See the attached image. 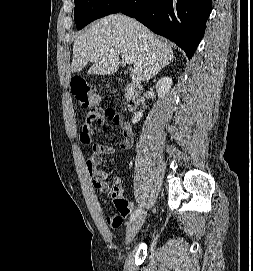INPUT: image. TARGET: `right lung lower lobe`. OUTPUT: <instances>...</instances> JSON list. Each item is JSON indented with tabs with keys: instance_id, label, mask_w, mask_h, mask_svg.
I'll list each match as a JSON object with an SVG mask.
<instances>
[{
	"instance_id": "right-lung-lower-lobe-1",
	"label": "right lung lower lobe",
	"mask_w": 253,
	"mask_h": 271,
	"mask_svg": "<svg viewBox=\"0 0 253 271\" xmlns=\"http://www.w3.org/2000/svg\"><path fill=\"white\" fill-rule=\"evenodd\" d=\"M119 12L174 41L190 59L204 35L211 0H127Z\"/></svg>"
}]
</instances>
